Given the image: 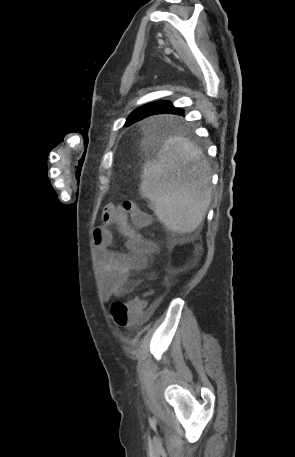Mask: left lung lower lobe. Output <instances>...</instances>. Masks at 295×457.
Returning <instances> with one entry per match:
<instances>
[{
    "mask_svg": "<svg viewBox=\"0 0 295 457\" xmlns=\"http://www.w3.org/2000/svg\"><path fill=\"white\" fill-rule=\"evenodd\" d=\"M157 114L184 115V111L179 108H175L169 101H163L162 103L156 105L151 111V115Z\"/></svg>",
    "mask_w": 295,
    "mask_h": 457,
    "instance_id": "1",
    "label": "left lung lower lobe"
}]
</instances>
